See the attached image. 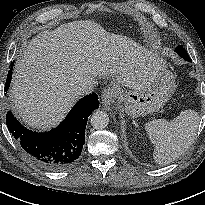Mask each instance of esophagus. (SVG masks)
Wrapping results in <instances>:
<instances>
[{
    "label": "esophagus",
    "mask_w": 205,
    "mask_h": 205,
    "mask_svg": "<svg viewBox=\"0 0 205 205\" xmlns=\"http://www.w3.org/2000/svg\"><path fill=\"white\" fill-rule=\"evenodd\" d=\"M116 98L115 90L114 89H104L101 93V103L104 107H109L114 103Z\"/></svg>",
    "instance_id": "obj_1"
}]
</instances>
